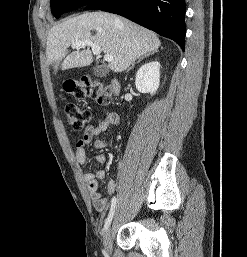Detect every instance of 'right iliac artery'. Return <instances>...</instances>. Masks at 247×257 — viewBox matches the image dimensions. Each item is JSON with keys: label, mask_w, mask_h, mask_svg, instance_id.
Wrapping results in <instances>:
<instances>
[{"label": "right iliac artery", "mask_w": 247, "mask_h": 257, "mask_svg": "<svg viewBox=\"0 0 247 257\" xmlns=\"http://www.w3.org/2000/svg\"><path fill=\"white\" fill-rule=\"evenodd\" d=\"M116 203H117V198L113 197L112 201H111V207H110V211H109L108 217L105 220L104 230H106L109 227V225H110V223L112 221V218L114 216L115 209H116Z\"/></svg>", "instance_id": "right-iliac-artery-1"}]
</instances>
